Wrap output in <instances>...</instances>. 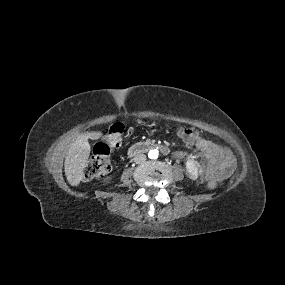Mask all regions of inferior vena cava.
<instances>
[{"instance_id": "inferior-vena-cava-1", "label": "inferior vena cava", "mask_w": 285, "mask_h": 285, "mask_svg": "<svg viewBox=\"0 0 285 285\" xmlns=\"http://www.w3.org/2000/svg\"><path fill=\"white\" fill-rule=\"evenodd\" d=\"M146 161V155L145 154H138L134 157V162L136 164H141Z\"/></svg>"}]
</instances>
